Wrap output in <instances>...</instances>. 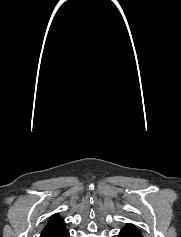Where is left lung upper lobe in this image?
<instances>
[{
	"label": "left lung upper lobe",
	"mask_w": 181,
	"mask_h": 237,
	"mask_svg": "<svg viewBox=\"0 0 181 237\" xmlns=\"http://www.w3.org/2000/svg\"><path fill=\"white\" fill-rule=\"evenodd\" d=\"M133 226L132 224H127L125 227Z\"/></svg>",
	"instance_id": "1"
}]
</instances>
